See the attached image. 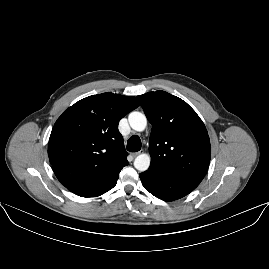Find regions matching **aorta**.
<instances>
[{
  "mask_svg": "<svg viewBox=\"0 0 269 269\" xmlns=\"http://www.w3.org/2000/svg\"><path fill=\"white\" fill-rule=\"evenodd\" d=\"M128 121L131 128L135 131H144L147 126V119L146 116L141 112H131L128 116ZM150 156L148 154H140L134 160V167L144 172L150 166Z\"/></svg>",
  "mask_w": 269,
  "mask_h": 269,
  "instance_id": "obj_1",
  "label": "aorta"
}]
</instances>
